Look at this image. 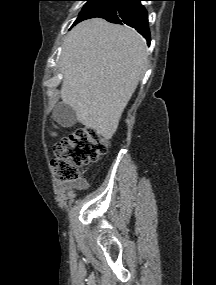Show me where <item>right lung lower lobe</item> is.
I'll return each instance as SVG.
<instances>
[{
  "label": "right lung lower lobe",
  "instance_id": "obj_1",
  "mask_svg": "<svg viewBox=\"0 0 216 285\" xmlns=\"http://www.w3.org/2000/svg\"><path fill=\"white\" fill-rule=\"evenodd\" d=\"M143 0H119L115 5L95 17L104 18L111 23L127 24L135 28L150 44L148 14L140 4ZM93 18V17H92Z\"/></svg>",
  "mask_w": 216,
  "mask_h": 285
}]
</instances>
